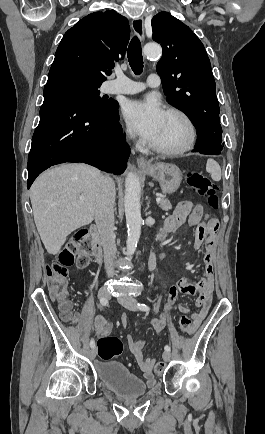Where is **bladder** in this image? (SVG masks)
Returning a JSON list of instances; mask_svg holds the SVG:
<instances>
[{
    "instance_id": "1",
    "label": "bladder",
    "mask_w": 265,
    "mask_h": 434,
    "mask_svg": "<svg viewBox=\"0 0 265 434\" xmlns=\"http://www.w3.org/2000/svg\"><path fill=\"white\" fill-rule=\"evenodd\" d=\"M96 372L100 380L120 397L138 398L148 390L145 383L131 374L121 362L113 360L98 361L96 363Z\"/></svg>"
}]
</instances>
